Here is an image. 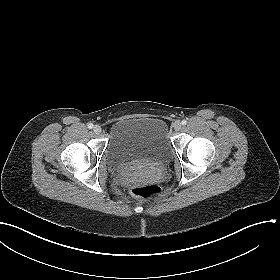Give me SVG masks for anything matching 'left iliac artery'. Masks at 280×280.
Instances as JSON below:
<instances>
[{"mask_svg": "<svg viewBox=\"0 0 280 280\" xmlns=\"http://www.w3.org/2000/svg\"><path fill=\"white\" fill-rule=\"evenodd\" d=\"M182 125H186L187 124V121L186 120H182Z\"/></svg>", "mask_w": 280, "mask_h": 280, "instance_id": "44dca946", "label": "left iliac artery"}]
</instances>
